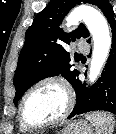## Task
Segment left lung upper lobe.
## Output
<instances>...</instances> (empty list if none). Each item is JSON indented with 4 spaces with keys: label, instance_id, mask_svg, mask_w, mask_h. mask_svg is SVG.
Here are the masks:
<instances>
[{
    "label": "left lung upper lobe",
    "instance_id": "5c2ea615",
    "mask_svg": "<svg viewBox=\"0 0 116 134\" xmlns=\"http://www.w3.org/2000/svg\"><path fill=\"white\" fill-rule=\"evenodd\" d=\"M81 2L98 6L104 15L112 9L109 0H51L26 31L14 76L15 105L28 88L42 79L61 74L72 84L78 76L79 72L71 69L70 54L63 45L69 44V37L73 41L89 37V31L80 24L76 30L67 34L60 28V23Z\"/></svg>",
    "mask_w": 116,
    "mask_h": 134
}]
</instances>
